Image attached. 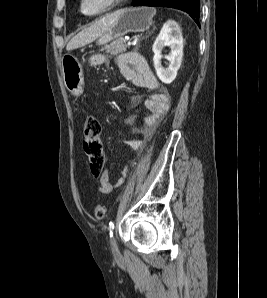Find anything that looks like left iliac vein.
<instances>
[{"label":"left iliac vein","mask_w":267,"mask_h":298,"mask_svg":"<svg viewBox=\"0 0 267 298\" xmlns=\"http://www.w3.org/2000/svg\"><path fill=\"white\" fill-rule=\"evenodd\" d=\"M110 243H111V248H112L113 253L117 255L119 253V251H118L117 242H116L115 237H111Z\"/></svg>","instance_id":"left-iliac-vein-1"}]
</instances>
